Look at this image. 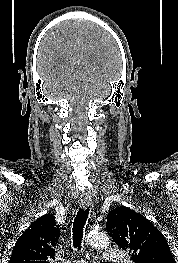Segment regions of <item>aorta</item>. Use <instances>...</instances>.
<instances>
[{
	"label": "aorta",
	"instance_id": "1",
	"mask_svg": "<svg viewBox=\"0 0 178 263\" xmlns=\"http://www.w3.org/2000/svg\"><path fill=\"white\" fill-rule=\"evenodd\" d=\"M87 242L96 248H108L110 245V239L108 235L100 232H91L87 236Z\"/></svg>",
	"mask_w": 178,
	"mask_h": 263
}]
</instances>
